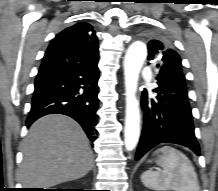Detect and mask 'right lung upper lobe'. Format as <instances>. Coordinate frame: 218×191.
I'll return each mask as SVG.
<instances>
[{"instance_id": "1", "label": "right lung upper lobe", "mask_w": 218, "mask_h": 191, "mask_svg": "<svg viewBox=\"0 0 218 191\" xmlns=\"http://www.w3.org/2000/svg\"><path fill=\"white\" fill-rule=\"evenodd\" d=\"M55 39L64 40L81 46L98 45V40L92 26L79 22L60 32Z\"/></svg>"}]
</instances>
